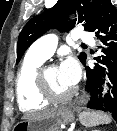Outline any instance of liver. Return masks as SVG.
I'll list each match as a JSON object with an SVG mask.
<instances>
[{
  "mask_svg": "<svg viewBox=\"0 0 117 131\" xmlns=\"http://www.w3.org/2000/svg\"><path fill=\"white\" fill-rule=\"evenodd\" d=\"M56 110H57V108H53V109H48V110H44V111H41V112H35V113H32V114H26V115L23 116L22 119L41 118V117H44V116H47V115L53 113Z\"/></svg>",
  "mask_w": 117,
  "mask_h": 131,
  "instance_id": "obj_1",
  "label": "liver"
}]
</instances>
